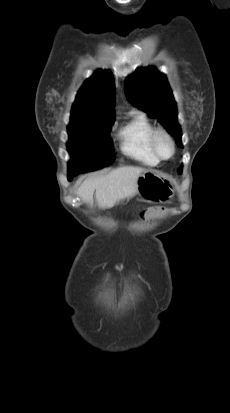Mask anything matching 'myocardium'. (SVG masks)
<instances>
[{
	"instance_id": "myocardium-1",
	"label": "myocardium",
	"mask_w": 230,
	"mask_h": 413,
	"mask_svg": "<svg viewBox=\"0 0 230 413\" xmlns=\"http://www.w3.org/2000/svg\"><path fill=\"white\" fill-rule=\"evenodd\" d=\"M160 137H164L171 145L172 151L168 157L161 155V153L158 150L157 142ZM150 144H151L152 151L158 160L167 161L173 158V156L175 155V152H176L175 141L173 137L171 136V134L165 128L157 127L152 130L151 135H150Z\"/></svg>"
}]
</instances>
